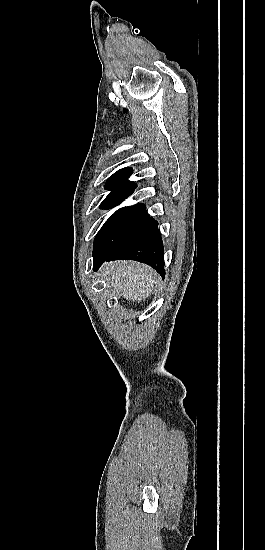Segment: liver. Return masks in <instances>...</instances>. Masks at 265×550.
<instances>
[{"instance_id": "6515ba94", "label": "liver", "mask_w": 265, "mask_h": 550, "mask_svg": "<svg viewBox=\"0 0 265 550\" xmlns=\"http://www.w3.org/2000/svg\"><path fill=\"white\" fill-rule=\"evenodd\" d=\"M105 276L117 294L133 302L148 298L155 282L151 268L136 262H113L106 267Z\"/></svg>"}]
</instances>
